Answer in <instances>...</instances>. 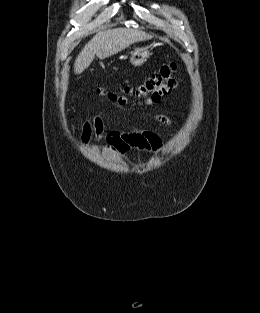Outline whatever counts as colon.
Listing matches in <instances>:
<instances>
[{
    "label": "colon",
    "instance_id": "colon-1",
    "mask_svg": "<svg viewBox=\"0 0 260 313\" xmlns=\"http://www.w3.org/2000/svg\"><path fill=\"white\" fill-rule=\"evenodd\" d=\"M176 71V64H166L139 85L125 86L119 93L106 90H100L99 92L120 104H126L131 100L156 103L177 86Z\"/></svg>",
    "mask_w": 260,
    "mask_h": 313
}]
</instances>
